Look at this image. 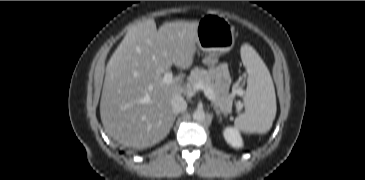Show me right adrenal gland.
I'll list each match as a JSON object with an SVG mask.
<instances>
[{
    "mask_svg": "<svg viewBox=\"0 0 365 180\" xmlns=\"http://www.w3.org/2000/svg\"><path fill=\"white\" fill-rule=\"evenodd\" d=\"M177 116H178V113H175V114H174V118H173V123L175 122V120H176Z\"/></svg>",
    "mask_w": 365,
    "mask_h": 180,
    "instance_id": "1",
    "label": "right adrenal gland"
}]
</instances>
